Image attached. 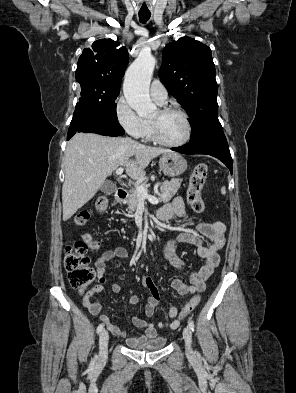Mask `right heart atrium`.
I'll use <instances>...</instances> for the list:
<instances>
[{
  "label": "right heart atrium",
  "instance_id": "obj_1",
  "mask_svg": "<svg viewBox=\"0 0 296 393\" xmlns=\"http://www.w3.org/2000/svg\"><path fill=\"white\" fill-rule=\"evenodd\" d=\"M115 117L121 127L133 138L146 137L148 125L128 103L124 97H119L115 103Z\"/></svg>",
  "mask_w": 296,
  "mask_h": 393
}]
</instances>
